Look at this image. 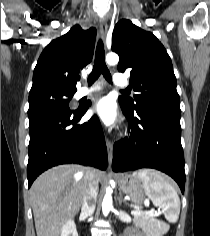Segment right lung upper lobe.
<instances>
[{"instance_id":"obj_1","label":"right lung upper lobe","mask_w":210,"mask_h":236,"mask_svg":"<svg viewBox=\"0 0 210 236\" xmlns=\"http://www.w3.org/2000/svg\"><path fill=\"white\" fill-rule=\"evenodd\" d=\"M96 29L73 26L51 41L41 53L33 73L29 101L45 91L75 93L77 75L93 57Z\"/></svg>"}]
</instances>
